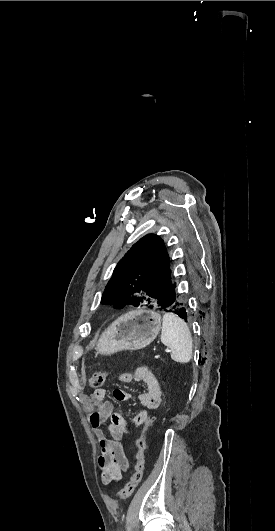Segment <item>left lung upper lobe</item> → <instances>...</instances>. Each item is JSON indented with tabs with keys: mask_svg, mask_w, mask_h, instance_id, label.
<instances>
[{
	"mask_svg": "<svg viewBox=\"0 0 275 531\" xmlns=\"http://www.w3.org/2000/svg\"><path fill=\"white\" fill-rule=\"evenodd\" d=\"M169 256L163 240L148 234L135 243L114 269L101 303L120 309L125 306L161 308L175 297L176 283L170 279Z\"/></svg>",
	"mask_w": 275,
	"mask_h": 531,
	"instance_id": "obj_1",
	"label": "left lung upper lobe"
}]
</instances>
